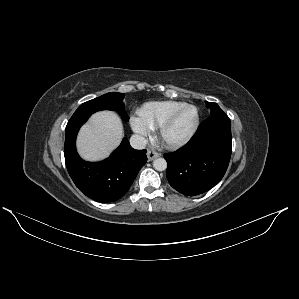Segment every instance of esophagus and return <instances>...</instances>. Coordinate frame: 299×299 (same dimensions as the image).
Segmentation results:
<instances>
[{
  "mask_svg": "<svg viewBox=\"0 0 299 299\" xmlns=\"http://www.w3.org/2000/svg\"><path fill=\"white\" fill-rule=\"evenodd\" d=\"M160 154L158 152H156L155 150H152V149H149L147 151V158H148V161H152L153 159L159 157Z\"/></svg>",
  "mask_w": 299,
  "mask_h": 299,
  "instance_id": "esophagus-1",
  "label": "esophagus"
}]
</instances>
